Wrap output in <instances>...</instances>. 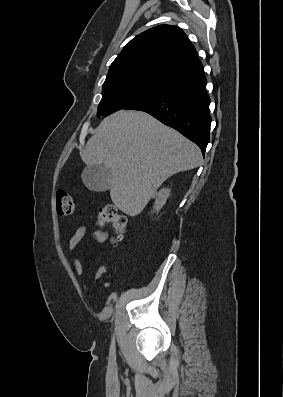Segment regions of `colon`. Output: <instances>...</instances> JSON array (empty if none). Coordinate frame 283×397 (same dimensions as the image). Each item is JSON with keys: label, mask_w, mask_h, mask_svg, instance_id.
Wrapping results in <instances>:
<instances>
[{"label": "colon", "mask_w": 283, "mask_h": 397, "mask_svg": "<svg viewBox=\"0 0 283 397\" xmlns=\"http://www.w3.org/2000/svg\"><path fill=\"white\" fill-rule=\"evenodd\" d=\"M56 206L59 215L68 216L76 210L73 197L63 189H59L56 192ZM98 222L101 225L111 224L116 233V240L121 239L127 232L126 217L119 214L112 205H106L99 209Z\"/></svg>", "instance_id": "colon-1"}]
</instances>
